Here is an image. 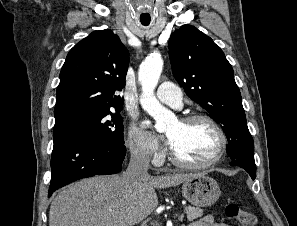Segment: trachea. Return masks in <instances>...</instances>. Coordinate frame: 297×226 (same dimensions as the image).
<instances>
[{
  "label": "trachea",
  "instance_id": "obj_1",
  "mask_svg": "<svg viewBox=\"0 0 297 226\" xmlns=\"http://www.w3.org/2000/svg\"><path fill=\"white\" fill-rule=\"evenodd\" d=\"M142 24H143V25H148L149 23H143V22H142Z\"/></svg>",
  "mask_w": 297,
  "mask_h": 226
}]
</instances>
